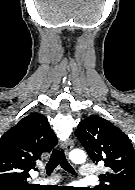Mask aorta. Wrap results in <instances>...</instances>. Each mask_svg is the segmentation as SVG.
<instances>
[{
	"instance_id": "1",
	"label": "aorta",
	"mask_w": 135,
	"mask_h": 190,
	"mask_svg": "<svg viewBox=\"0 0 135 190\" xmlns=\"http://www.w3.org/2000/svg\"><path fill=\"white\" fill-rule=\"evenodd\" d=\"M69 157L74 163H83L86 160V154L82 150H73Z\"/></svg>"
}]
</instances>
